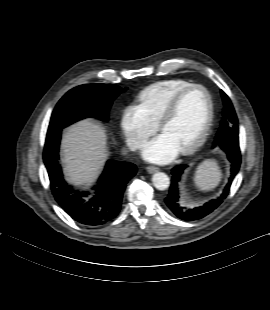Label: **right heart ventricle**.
<instances>
[{
	"mask_svg": "<svg viewBox=\"0 0 270 310\" xmlns=\"http://www.w3.org/2000/svg\"><path fill=\"white\" fill-rule=\"evenodd\" d=\"M189 85L191 83L181 79L159 81L144 88L139 93L138 100L149 119L157 124L172 97Z\"/></svg>",
	"mask_w": 270,
	"mask_h": 310,
	"instance_id": "right-heart-ventricle-1",
	"label": "right heart ventricle"
}]
</instances>
